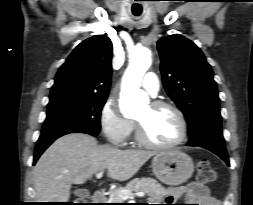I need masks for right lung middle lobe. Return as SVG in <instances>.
<instances>
[{
  "instance_id": "1",
  "label": "right lung middle lobe",
  "mask_w": 253,
  "mask_h": 205,
  "mask_svg": "<svg viewBox=\"0 0 253 205\" xmlns=\"http://www.w3.org/2000/svg\"><path fill=\"white\" fill-rule=\"evenodd\" d=\"M107 97L68 96L48 103L42 133L65 129L100 132L101 110Z\"/></svg>"
}]
</instances>
